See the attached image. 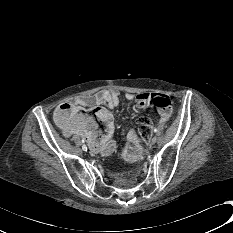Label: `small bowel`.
<instances>
[{
	"label": "small bowel",
	"mask_w": 233,
	"mask_h": 233,
	"mask_svg": "<svg viewBox=\"0 0 233 233\" xmlns=\"http://www.w3.org/2000/svg\"><path fill=\"white\" fill-rule=\"evenodd\" d=\"M156 95L141 92L137 94L125 92L121 93L117 90H103L98 93L75 97L70 100V104L76 109V113L73 116H78L75 121L71 120V125L62 126L63 132L66 136L77 134L85 139L90 150L94 154H100L103 156L110 155L115 149L114 136L116 132V126L112 115L110 114L105 120H102L104 126V133L100 134L96 130V123L92 117L82 113V110L86 107L96 108L102 105L108 108H115L119 105L121 97L129 102H134L138 111L144 110L149 106L150 100ZM86 115L84 123H80L81 116ZM169 116L168 111L159 110V119L161 122L167 120ZM124 159L128 163H137L141 159V150L137 146H128L124 150Z\"/></svg>",
	"instance_id": "c3829d8e"
}]
</instances>
